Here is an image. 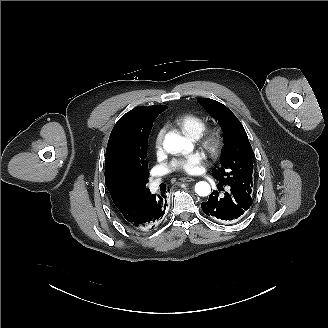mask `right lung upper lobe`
Segmentation results:
<instances>
[{"mask_svg":"<svg viewBox=\"0 0 328 328\" xmlns=\"http://www.w3.org/2000/svg\"><path fill=\"white\" fill-rule=\"evenodd\" d=\"M167 108L165 105H153L132 109L117 121L110 134L105 156V183L120 218L129 224L137 220L151 193L148 188L134 184L125 174L119 157L122 130L133 117L146 110L161 113Z\"/></svg>","mask_w":328,"mask_h":328,"instance_id":"cb5924a9","label":"right lung upper lobe"}]
</instances>
